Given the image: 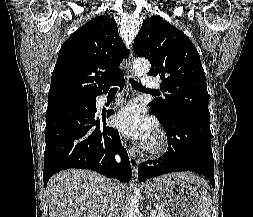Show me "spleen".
Returning <instances> with one entry per match:
<instances>
[{
    "instance_id": "spleen-1",
    "label": "spleen",
    "mask_w": 253,
    "mask_h": 217,
    "mask_svg": "<svg viewBox=\"0 0 253 217\" xmlns=\"http://www.w3.org/2000/svg\"><path fill=\"white\" fill-rule=\"evenodd\" d=\"M199 186V184H198ZM212 200L207 191L202 188L201 196L199 198V217H211Z\"/></svg>"
}]
</instances>
